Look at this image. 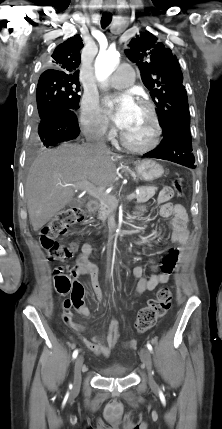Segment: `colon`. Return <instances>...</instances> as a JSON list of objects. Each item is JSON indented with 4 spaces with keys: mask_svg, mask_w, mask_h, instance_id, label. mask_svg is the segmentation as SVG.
<instances>
[{
    "mask_svg": "<svg viewBox=\"0 0 222 429\" xmlns=\"http://www.w3.org/2000/svg\"><path fill=\"white\" fill-rule=\"evenodd\" d=\"M160 195L169 200L174 196L183 197L182 183L178 178L172 180V185L161 190ZM86 218V212L82 208H66L54 216L41 230L39 243L51 260L66 261L72 257L74 248L58 241L60 235L73 225L82 222ZM55 288L61 295L80 293L82 286L73 281L61 268L55 271ZM172 289L164 287L157 293L155 299H150L147 305L138 312L135 329L138 333H144L151 329L158 320L166 314L172 303Z\"/></svg>",
    "mask_w": 222,
    "mask_h": 429,
    "instance_id": "obj_1",
    "label": "colon"
}]
</instances>
